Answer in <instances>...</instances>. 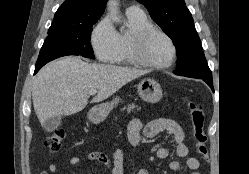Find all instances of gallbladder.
Here are the masks:
<instances>
[{
	"label": "gallbladder",
	"mask_w": 249,
	"mask_h": 174,
	"mask_svg": "<svg viewBox=\"0 0 249 174\" xmlns=\"http://www.w3.org/2000/svg\"><path fill=\"white\" fill-rule=\"evenodd\" d=\"M61 120L62 117L60 115L52 116L43 123V127L47 132H52L59 127Z\"/></svg>",
	"instance_id": "1"
}]
</instances>
